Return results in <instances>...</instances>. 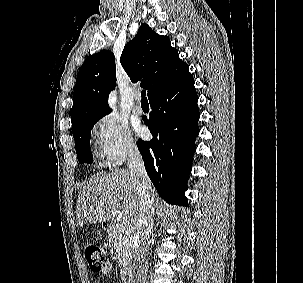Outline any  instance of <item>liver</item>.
Returning <instances> with one entry per match:
<instances>
[{
	"mask_svg": "<svg viewBox=\"0 0 303 283\" xmlns=\"http://www.w3.org/2000/svg\"><path fill=\"white\" fill-rule=\"evenodd\" d=\"M152 195L155 197L153 189ZM118 209L128 226L138 223L141 213L137 185L125 169L96 175L82 186L76 205L77 225L110 220Z\"/></svg>",
	"mask_w": 303,
	"mask_h": 283,
	"instance_id": "liver-1",
	"label": "liver"
}]
</instances>
